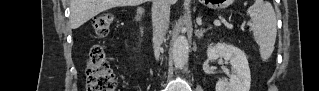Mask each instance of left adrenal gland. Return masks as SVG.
<instances>
[{"label":"left adrenal gland","mask_w":319,"mask_h":91,"mask_svg":"<svg viewBox=\"0 0 319 91\" xmlns=\"http://www.w3.org/2000/svg\"><path fill=\"white\" fill-rule=\"evenodd\" d=\"M209 29H211V27H208V28H200V29H197L196 30V36L198 37V38H201L202 36H203V34L205 33V32H207Z\"/></svg>","instance_id":"a2214340"}]
</instances>
